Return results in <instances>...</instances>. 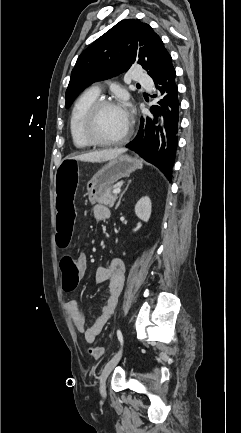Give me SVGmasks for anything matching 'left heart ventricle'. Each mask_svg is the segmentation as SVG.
I'll use <instances>...</instances> for the list:
<instances>
[{"instance_id":"left-heart-ventricle-1","label":"left heart ventricle","mask_w":241,"mask_h":433,"mask_svg":"<svg viewBox=\"0 0 241 433\" xmlns=\"http://www.w3.org/2000/svg\"><path fill=\"white\" fill-rule=\"evenodd\" d=\"M128 124L121 106H109L104 108L98 115L95 131L103 139L112 140L120 137Z\"/></svg>"}]
</instances>
